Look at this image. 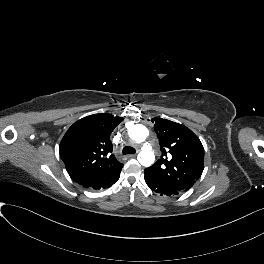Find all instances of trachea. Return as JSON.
Returning a JSON list of instances; mask_svg holds the SVG:
<instances>
[{
  "instance_id": "3493384b",
  "label": "trachea",
  "mask_w": 264,
  "mask_h": 264,
  "mask_svg": "<svg viewBox=\"0 0 264 264\" xmlns=\"http://www.w3.org/2000/svg\"><path fill=\"white\" fill-rule=\"evenodd\" d=\"M135 152H136V150L133 147L125 146L123 148V154L124 155H126V154H134Z\"/></svg>"
}]
</instances>
